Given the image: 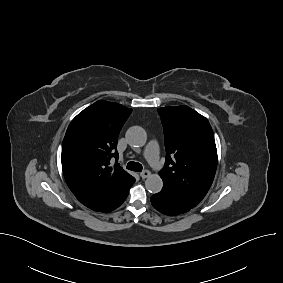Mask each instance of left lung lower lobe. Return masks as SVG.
<instances>
[{
	"instance_id": "left-lung-lower-lobe-1",
	"label": "left lung lower lobe",
	"mask_w": 283,
	"mask_h": 283,
	"mask_svg": "<svg viewBox=\"0 0 283 283\" xmlns=\"http://www.w3.org/2000/svg\"><path fill=\"white\" fill-rule=\"evenodd\" d=\"M151 203L159 212L170 216L188 212L194 207L189 205L177 192L165 185L159 193L151 197Z\"/></svg>"
}]
</instances>
